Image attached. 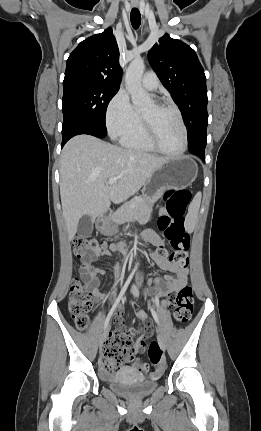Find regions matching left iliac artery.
Masks as SVG:
<instances>
[{
	"label": "left iliac artery",
	"mask_w": 261,
	"mask_h": 431,
	"mask_svg": "<svg viewBox=\"0 0 261 431\" xmlns=\"http://www.w3.org/2000/svg\"><path fill=\"white\" fill-rule=\"evenodd\" d=\"M150 311H151V313H152V316H153L154 320H155L157 323H159L158 315H157V313L155 312V310H154L151 306H150Z\"/></svg>",
	"instance_id": "44dca946"
}]
</instances>
